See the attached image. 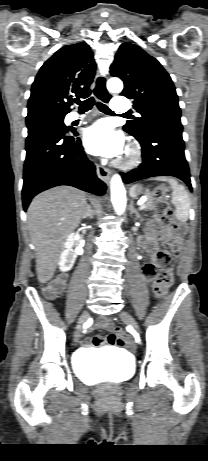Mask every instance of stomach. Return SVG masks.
I'll return each mask as SVG.
<instances>
[{"label": "stomach", "mask_w": 208, "mask_h": 461, "mask_svg": "<svg viewBox=\"0 0 208 461\" xmlns=\"http://www.w3.org/2000/svg\"><path fill=\"white\" fill-rule=\"evenodd\" d=\"M134 187V193H135V196L139 195V194H143L144 193V189L141 185H135L133 186ZM132 187V188H133ZM131 188V189H132Z\"/></svg>", "instance_id": "obj_1"}]
</instances>
